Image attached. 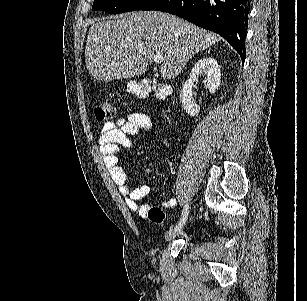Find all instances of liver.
<instances>
[{
  "label": "liver",
  "mask_w": 307,
  "mask_h": 301,
  "mask_svg": "<svg viewBox=\"0 0 307 301\" xmlns=\"http://www.w3.org/2000/svg\"><path fill=\"white\" fill-rule=\"evenodd\" d=\"M86 40V68L96 80L132 78L145 72L154 54L160 74L176 78L186 62L221 36L160 10H138L122 18H95Z\"/></svg>",
  "instance_id": "6515ba94"
}]
</instances>
